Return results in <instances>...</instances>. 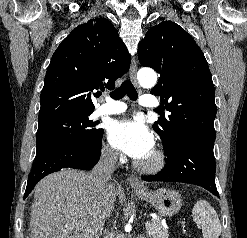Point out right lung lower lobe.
<instances>
[{
  "mask_svg": "<svg viewBox=\"0 0 247 238\" xmlns=\"http://www.w3.org/2000/svg\"><path fill=\"white\" fill-rule=\"evenodd\" d=\"M102 136L103 133L90 146L68 143L54 146L36 155L27 182L24 199L43 177L52 172L60 171L63 168L91 169L99 161Z\"/></svg>",
  "mask_w": 247,
  "mask_h": 238,
  "instance_id": "obj_1",
  "label": "right lung lower lobe"
}]
</instances>
